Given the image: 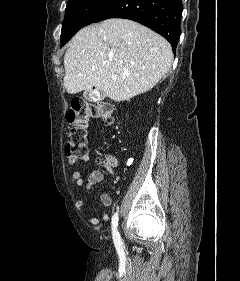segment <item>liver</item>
<instances>
[{
    "instance_id": "obj_1",
    "label": "liver",
    "mask_w": 240,
    "mask_h": 281,
    "mask_svg": "<svg viewBox=\"0 0 240 281\" xmlns=\"http://www.w3.org/2000/svg\"><path fill=\"white\" fill-rule=\"evenodd\" d=\"M171 45L128 19H107L82 28L64 55V87L70 94L93 87L114 101L151 90L170 70Z\"/></svg>"
}]
</instances>
